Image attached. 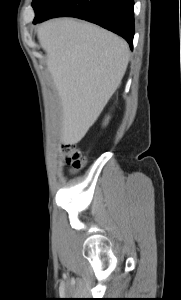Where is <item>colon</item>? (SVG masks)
Masks as SVG:
<instances>
[{
	"label": "colon",
	"instance_id": "colon-1",
	"mask_svg": "<svg viewBox=\"0 0 181 300\" xmlns=\"http://www.w3.org/2000/svg\"><path fill=\"white\" fill-rule=\"evenodd\" d=\"M66 164L73 170H80L86 164V158L76 146L66 144L62 147Z\"/></svg>",
	"mask_w": 181,
	"mask_h": 300
}]
</instances>
